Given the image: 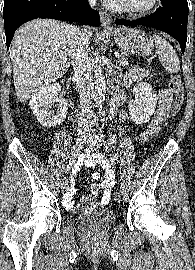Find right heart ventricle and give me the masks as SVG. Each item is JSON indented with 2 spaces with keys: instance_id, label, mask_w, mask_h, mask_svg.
Listing matches in <instances>:
<instances>
[{
  "instance_id": "right-heart-ventricle-1",
  "label": "right heart ventricle",
  "mask_w": 195,
  "mask_h": 270,
  "mask_svg": "<svg viewBox=\"0 0 195 270\" xmlns=\"http://www.w3.org/2000/svg\"><path fill=\"white\" fill-rule=\"evenodd\" d=\"M110 6L114 9V10H117V11H120L118 9V5H117V1L116 0H110Z\"/></svg>"
}]
</instances>
